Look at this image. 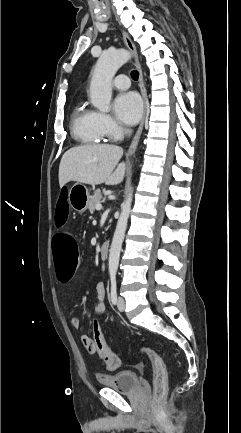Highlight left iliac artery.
<instances>
[{
    "label": "left iliac artery",
    "instance_id": "obj_1",
    "mask_svg": "<svg viewBox=\"0 0 241 433\" xmlns=\"http://www.w3.org/2000/svg\"><path fill=\"white\" fill-rule=\"evenodd\" d=\"M110 300L113 304H116V301H117V283H116V277L115 276H111Z\"/></svg>",
    "mask_w": 241,
    "mask_h": 433
}]
</instances>
